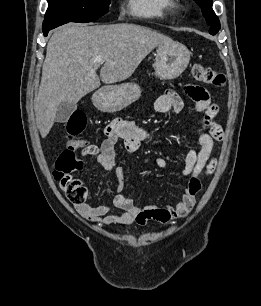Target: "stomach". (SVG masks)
I'll list each match as a JSON object with an SVG mask.
<instances>
[{"instance_id":"obj_1","label":"stomach","mask_w":261,"mask_h":306,"mask_svg":"<svg viewBox=\"0 0 261 306\" xmlns=\"http://www.w3.org/2000/svg\"><path fill=\"white\" fill-rule=\"evenodd\" d=\"M190 52L179 42L159 45L154 62L156 76L161 80H171L179 77L187 68ZM141 96L140 86L136 83H125L107 86L97 91L93 97L94 105L101 111H118Z\"/></svg>"}]
</instances>
